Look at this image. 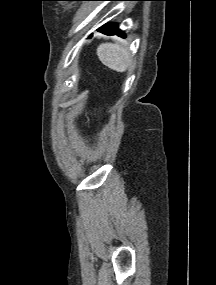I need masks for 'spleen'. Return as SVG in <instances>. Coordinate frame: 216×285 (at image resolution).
<instances>
[{"label": "spleen", "mask_w": 216, "mask_h": 285, "mask_svg": "<svg viewBox=\"0 0 216 285\" xmlns=\"http://www.w3.org/2000/svg\"><path fill=\"white\" fill-rule=\"evenodd\" d=\"M97 55L105 66L117 72H125L132 64L128 46L125 44L102 43L97 48Z\"/></svg>", "instance_id": "1"}]
</instances>
